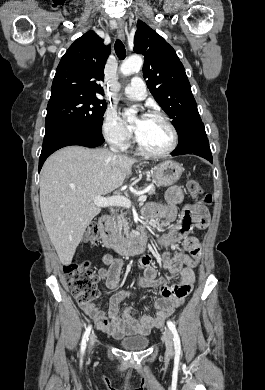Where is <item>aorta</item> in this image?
<instances>
[{
	"label": "aorta",
	"instance_id": "1",
	"mask_svg": "<svg viewBox=\"0 0 265 390\" xmlns=\"http://www.w3.org/2000/svg\"><path fill=\"white\" fill-rule=\"evenodd\" d=\"M143 65V59L139 55H133L126 59L120 66V72L124 76H129L141 69ZM137 111L134 109H126L124 116L127 118L128 122L134 121L136 119Z\"/></svg>",
	"mask_w": 265,
	"mask_h": 390
}]
</instances>
